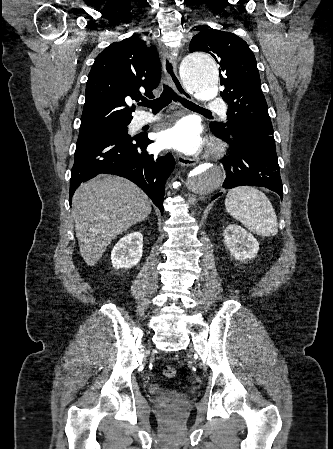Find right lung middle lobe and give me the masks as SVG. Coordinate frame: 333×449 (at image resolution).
I'll return each mask as SVG.
<instances>
[{
	"mask_svg": "<svg viewBox=\"0 0 333 449\" xmlns=\"http://www.w3.org/2000/svg\"><path fill=\"white\" fill-rule=\"evenodd\" d=\"M129 123L130 122L107 123L87 128H81L79 130V138L87 136L107 135V134L128 135L127 125Z\"/></svg>",
	"mask_w": 333,
	"mask_h": 449,
	"instance_id": "dd1d6c3e",
	"label": "right lung middle lobe"
}]
</instances>
